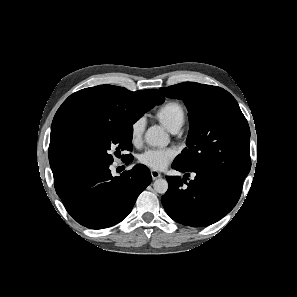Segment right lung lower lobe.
Instances as JSON below:
<instances>
[{
	"label": "right lung lower lobe",
	"mask_w": 297,
	"mask_h": 297,
	"mask_svg": "<svg viewBox=\"0 0 297 297\" xmlns=\"http://www.w3.org/2000/svg\"><path fill=\"white\" fill-rule=\"evenodd\" d=\"M151 180L144 165H135L113 177L106 164L77 170L55 189L67 212L78 223L90 229H102L121 222Z\"/></svg>",
	"instance_id": "obj_1"
}]
</instances>
